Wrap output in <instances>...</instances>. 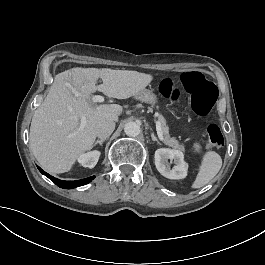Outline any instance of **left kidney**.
Masks as SVG:
<instances>
[{"label": "left kidney", "mask_w": 265, "mask_h": 265, "mask_svg": "<svg viewBox=\"0 0 265 265\" xmlns=\"http://www.w3.org/2000/svg\"><path fill=\"white\" fill-rule=\"evenodd\" d=\"M171 163H174L173 168L170 166ZM155 164L157 170L167 178L180 179L184 178L187 174L188 164L184 161L183 153L177 150H156Z\"/></svg>", "instance_id": "1"}]
</instances>
